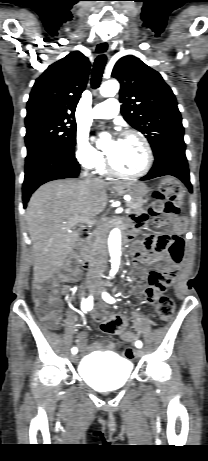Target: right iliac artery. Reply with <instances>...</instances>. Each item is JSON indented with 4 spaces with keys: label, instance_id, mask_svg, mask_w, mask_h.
I'll return each mask as SVG.
<instances>
[{
    "label": "right iliac artery",
    "instance_id": "82829eb1",
    "mask_svg": "<svg viewBox=\"0 0 208 461\" xmlns=\"http://www.w3.org/2000/svg\"><path fill=\"white\" fill-rule=\"evenodd\" d=\"M92 307H93V297L89 296L87 298V300L85 301V303H83L82 309L84 311H90L92 309ZM71 351H72L73 354H76L78 350H77L76 347H73Z\"/></svg>",
    "mask_w": 208,
    "mask_h": 461
}]
</instances>
